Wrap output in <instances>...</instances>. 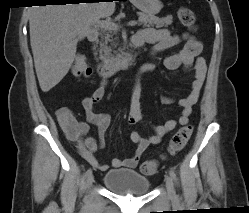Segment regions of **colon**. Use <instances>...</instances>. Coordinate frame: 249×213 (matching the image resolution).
<instances>
[{"label": "colon", "mask_w": 249, "mask_h": 213, "mask_svg": "<svg viewBox=\"0 0 249 213\" xmlns=\"http://www.w3.org/2000/svg\"><path fill=\"white\" fill-rule=\"evenodd\" d=\"M178 18L181 23L188 27L194 28L196 18L192 10L186 7H181L178 10ZM73 75L76 77H88L91 75V67L84 55H77L72 69ZM62 107L58 108L60 110ZM193 127L185 125L180 128L171 138L169 152L175 154L184 148L191 137ZM158 169V163L155 160H146L141 165V172L145 175H152Z\"/></svg>", "instance_id": "obj_1"}]
</instances>
